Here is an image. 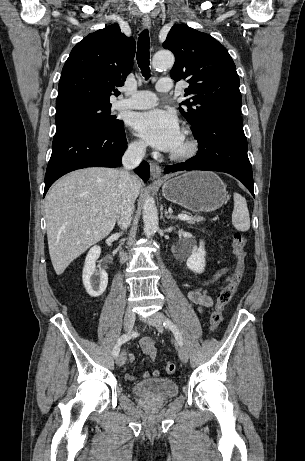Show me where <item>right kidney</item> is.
I'll return each mask as SVG.
<instances>
[{
	"label": "right kidney",
	"instance_id": "obj_1",
	"mask_svg": "<svg viewBox=\"0 0 305 461\" xmlns=\"http://www.w3.org/2000/svg\"><path fill=\"white\" fill-rule=\"evenodd\" d=\"M101 253L99 246H93L85 259V265L83 268V285L86 292L91 297H98L103 294L108 284V274L105 270H96V261Z\"/></svg>",
	"mask_w": 305,
	"mask_h": 461
}]
</instances>
